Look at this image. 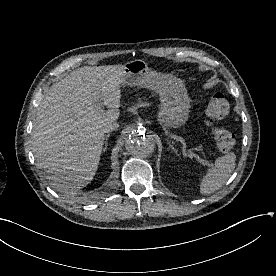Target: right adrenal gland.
<instances>
[{"label":"right adrenal gland","mask_w":276,"mask_h":276,"mask_svg":"<svg viewBox=\"0 0 276 276\" xmlns=\"http://www.w3.org/2000/svg\"><path fill=\"white\" fill-rule=\"evenodd\" d=\"M110 137V134H107L105 137V141H104V148H103V152H105L107 150V146H108V139Z\"/></svg>","instance_id":"2a0ac1e0"}]
</instances>
